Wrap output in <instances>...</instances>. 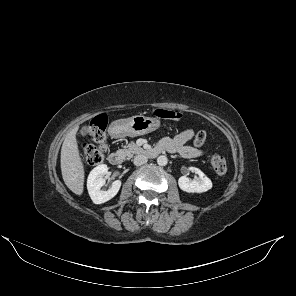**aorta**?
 <instances>
[{
    "instance_id": "obj_1",
    "label": "aorta",
    "mask_w": 296,
    "mask_h": 296,
    "mask_svg": "<svg viewBox=\"0 0 296 296\" xmlns=\"http://www.w3.org/2000/svg\"><path fill=\"white\" fill-rule=\"evenodd\" d=\"M167 163H168V159L166 156L161 155L157 158V164L159 166H165V165H167Z\"/></svg>"
}]
</instances>
